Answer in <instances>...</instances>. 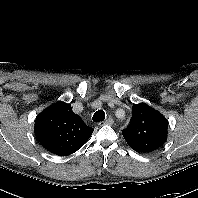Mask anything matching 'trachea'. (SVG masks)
Returning <instances> with one entry per match:
<instances>
[{"instance_id": "trachea-1", "label": "trachea", "mask_w": 198, "mask_h": 198, "mask_svg": "<svg viewBox=\"0 0 198 198\" xmlns=\"http://www.w3.org/2000/svg\"><path fill=\"white\" fill-rule=\"evenodd\" d=\"M94 122L104 121L105 120V112L103 110H98L94 113L92 117Z\"/></svg>"}]
</instances>
